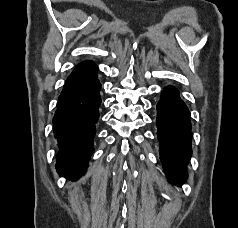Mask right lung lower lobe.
Returning a JSON list of instances; mask_svg holds the SVG:
<instances>
[{
	"label": "right lung lower lobe",
	"mask_w": 238,
	"mask_h": 228,
	"mask_svg": "<svg viewBox=\"0 0 238 228\" xmlns=\"http://www.w3.org/2000/svg\"><path fill=\"white\" fill-rule=\"evenodd\" d=\"M101 84L96 75L65 83L53 119L58 139L56 169L60 176L78 179L93 152L95 123L99 118Z\"/></svg>",
	"instance_id": "right-lung-lower-lobe-1"
}]
</instances>
